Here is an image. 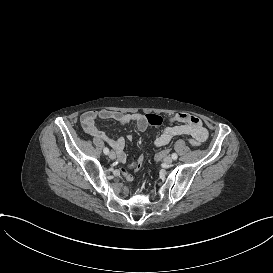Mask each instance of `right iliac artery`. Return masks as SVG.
<instances>
[{
	"label": "right iliac artery",
	"mask_w": 273,
	"mask_h": 273,
	"mask_svg": "<svg viewBox=\"0 0 273 273\" xmlns=\"http://www.w3.org/2000/svg\"><path fill=\"white\" fill-rule=\"evenodd\" d=\"M103 152H104V154L107 155L109 153V149L107 147H105L104 150H103Z\"/></svg>",
	"instance_id": "right-iliac-artery-1"
}]
</instances>
